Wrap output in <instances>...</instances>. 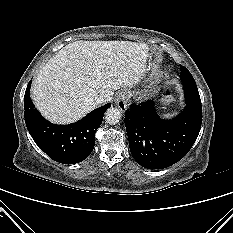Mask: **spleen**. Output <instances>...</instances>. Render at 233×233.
Here are the masks:
<instances>
[{"mask_svg":"<svg viewBox=\"0 0 233 233\" xmlns=\"http://www.w3.org/2000/svg\"><path fill=\"white\" fill-rule=\"evenodd\" d=\"M177 114V112H173V113H167V114H163V118H171L173 116H175Z\"/></svg>","mask_w":233,"mask_h":233,"instance_id":"1","label":"spleen"}]
</instances>
